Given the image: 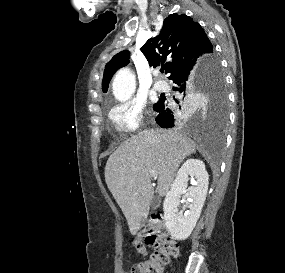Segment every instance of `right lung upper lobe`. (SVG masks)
Here are the masks:
<instances>
[{"instance_id": "cb5924a9", "label": "right lung upper lobe", "mask_w": 285, "mask_h": 273, "mask_svg": "<svg viewBox=\"0 0 285 273\" xmlns=\"http://www.w3.org/2000/svg\"><path fill=\"white\" fill-rule=\"evenodd\" d=\"M149 65H164L169 79L199 60L214 56L213 46L199 23L185 14H171L163 22L159 35L141 48ZM129 62V51L116 54L106 65L102 90L107 92L113 74ZM185 106L182 104V107Z\"/></svg>"}]
</instances>
